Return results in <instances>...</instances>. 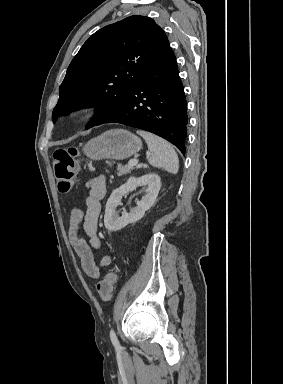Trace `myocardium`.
<instances>
[{"label": "myocardium", "instance_id": "myocardium-1", "mask_svg": "<svg viewBox=\"0 0 283 384\" xmlns=\"http://www.w3.org/2000/svg\"><path fill=\"white\" fill-rule=\"evenodd\" d=\"M82 113H83L82 109H77V110H75V111L73 112V116H74V117H79V116L82 115Z\"/></svg>", "mask_w": 283, "mask_h": 384}]
</instances>
